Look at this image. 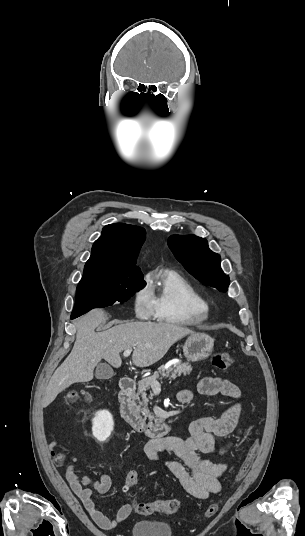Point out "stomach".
<instances>
[{"label":"stomach","instance_id":"obj_1","mask_svg":"<svg viewBox=\"0 0 305 536\" xmlns=\"http://www.w3.org/2000/svg\"><path fill=\"white\" fill-rule=\"evenodd\" d=\"M214 340L208 334H192L183 346L185 358L198 362L206 360L213 352Z\"/></svg>","mask_w":305,"mask_h":536}]
</instances>
